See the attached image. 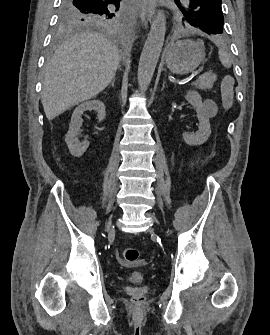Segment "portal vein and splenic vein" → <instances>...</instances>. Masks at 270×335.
I'll use <instances>...</instances> for the list:
<instances>
[{"label": "portal vein and splenic vein", "instance_id": "portal-vein-and-splenic-vein-1", "mask_svg": "<svg viewBox=\"0 0 270 335\" xmlns=\"http://www.w3.org/2000/svg\"><path fill=\"white\" fill-rule=\"evenodd\" d=\"M190 73L192 74V77H199V75H201V72H196V71L194 72L193 70Z\"/></svg>", "mask_w": 270, "mask_h": 335}]
</instances>
